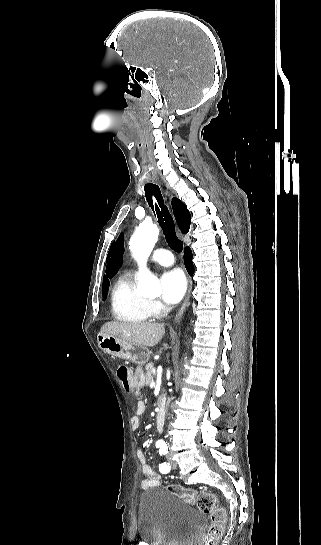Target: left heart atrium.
<instances>
[{
  "label": "left heart atrium",
  "instance_id": "left-heart-atrium-1",
  "mask_svg": "<svg viewBox=\"0 0 321 545\" xmlns=\"http://www.w3.org/2000/svg\"><path fill=\"white\" fill-rule=\"evenodd\" d=\"M162 300L167 305H173L181 300L187 289V281L178 269L168 270L160 277Z\"/></svg>",
  "mask_w": 321,
  "mask_h": 545
}]
</instances>
